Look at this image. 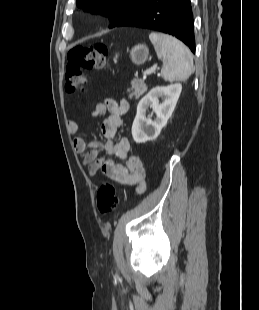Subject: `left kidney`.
Segmentation results:
<instances>
[{
  "mask_svg": "<svg viewBox=\"0 0 259 310\" xmlns=\"http://www.w3.org/2000/svg\"><path fill=\"white\" fill-rule=\"evenodd\" d=\"M182 91L180 83L157 86L151 89L137 105V114L132 125V136L136 143H145L156 139L171 117ZM159 98L163 99L159 103ZM152 108L156 118L146 117L148 108Z\"/></svg>",
  "mask_w": 259,
  "mask_h": 310,
  "instance_id": "5707ae66",
  "label": "left kidney"
}]
</instances>
